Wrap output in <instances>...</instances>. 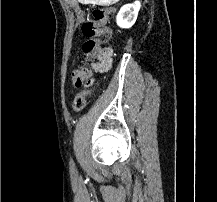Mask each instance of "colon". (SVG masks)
<instances>
[{"mask_svg": "<svg viewBox=\"0 0 217 202\" xmlns=\"http://www.w3.org/2000/svg\"><path fill=\"white\" fill-rule=\"evenodd\" d=\"M110 11L103 8H95L91 11L90 17L83 21L81 25V32L85 37L81 51L82 58L86 61L93 58L96 54L98 41L95 38L97 35H109V28L107 21ZM89 69L86 66L77 67L71 75V79L75 87L89 82ZM86 90V89H85ZM95 89H88L73 103L74 109L79 111L86 106L87 98L94 93Z\"/></svg>", "mask_w": 217, "mask_h": 202, "instance_id": "colon-1", "label": "colon"}]
</instances>
